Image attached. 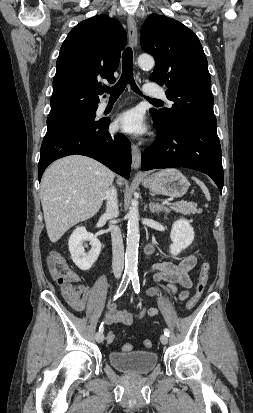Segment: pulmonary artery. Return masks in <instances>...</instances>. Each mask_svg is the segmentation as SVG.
I'll return each mask as SVG.
<instances>
[{
	"instance_id": "pulmonary-artery-1",
	"label": "pulmonary artery",
	"mask_w": 253,
	"mask_h": 413,
	"mask_svg": "<svg viewBox=\"0 0 253 413\" xmlns=\"http://www.w3.org/2000/svg\"><path fill=\"white\" fill-rule=\"evenodd\" d=\"M144 92L148 96L158 97V98H166L164 90L160 87H157V86L153 85V84H146L144 86ZM107 106H108V101H102V102H100V104L98 106V110L100 112H102L107 108Z\"/></svg>"
}]
</instances>
